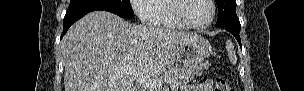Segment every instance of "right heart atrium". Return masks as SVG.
<instances>
[{
  "mask_svg": "<svg viewBox=\"0 0 304 91\" xmlns=\"http://www.w3.org/2000/svg\"><path fill=\"white\" fill-rule=\"evenodd\" d=\"M156 0H132L131 6L133 11L137 15L141 22L152 23L155 20V16L152 10V6Z\"/></svg>",
  "mask_w": 304,
  "mask_h": 91,
  "instance_id": "obj_1",
  "label": "right heart atrium"
}]
</instances>
